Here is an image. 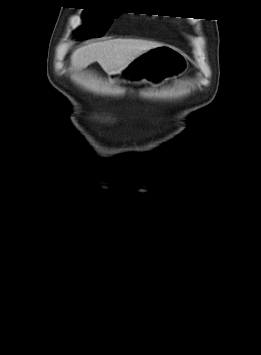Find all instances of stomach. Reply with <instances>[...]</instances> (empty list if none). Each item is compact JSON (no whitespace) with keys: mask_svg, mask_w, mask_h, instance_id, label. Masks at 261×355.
Returning <instances> with one entry per match:
<instances>
[{"mask_svg":"<svg viewBox=\"0 0 261 355\" xmlns=\"http://www.w3.org/2000/svg\"><path fill=\"white\" fill-rule=\"evenodd\" d=\"M187 69L188 61L182 52L172 46L161 45L142 53L121 72L109 74V77L114 80L161 83L184 74Z\"/></svg>","mask_w":261,"mask_h":355,"instance_id":"0dacf381","label":"stomach"}]
</instances>
